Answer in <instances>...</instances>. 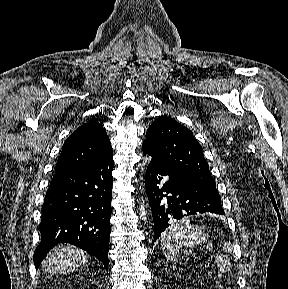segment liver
<instances>
[{"label": "liver", "mask_w": 288, "mask_h": 289, "mask_svg": "<svg viewBox=\"0 0 288 289\" xmlns=\"http://www.w3.org/2000/svg\"><path fill=\"white\" fill-rule=\"evenodd\" d=\"M88 254L75 246H56L42 264L43 269L51 274L72 272L87 262Z\"/></svg>", "instance_id": "1"}]
</instances>
